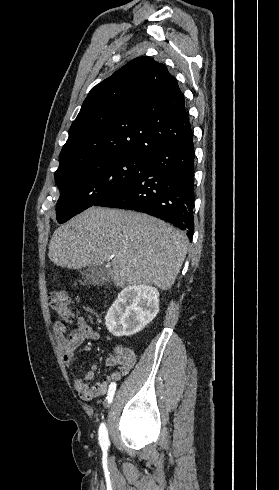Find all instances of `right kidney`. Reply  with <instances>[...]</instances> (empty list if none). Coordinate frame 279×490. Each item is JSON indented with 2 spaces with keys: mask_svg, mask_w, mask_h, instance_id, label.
I'll use <instances>...</instances> for the list:
<instances>
[{
  "mask_svg": "<svg viewBox=\"0 0 279 490\" xmlns=\"http://www.w3.org/2000/svg\"><path fill=\"white\" fill-rule=\"evenodd\" d=\"M159 312V292L157 288L145 284H131L121 290L117 300L110 306L105 316V326L110 334L133 336L141 332Z\"/></svg>",
  "mask_w": 279,
  "mask_h": 490,
  "instance_id": "obj_1",
  "label": "right kidney"
}]
</instances>
